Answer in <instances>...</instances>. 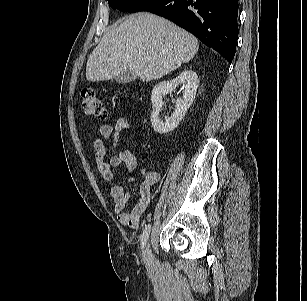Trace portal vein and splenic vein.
I'll return each mask as SVG.
<instances>
[{
	"label": "portal vein and splenic vein",
	"mask_w": 307,
	"mask_h": 301,
	"mask_svg": "<svg viewBox=\"0 0 307 301\" xmlns=\"http://www.w3.org/2000/svg\"><path fill=\"white\" fill-rule=\"evenodd\" d=\"M147 61H150V58H146Z\"/></svg>",
	"instance_id": "18ae733b"
}]
</instances>
